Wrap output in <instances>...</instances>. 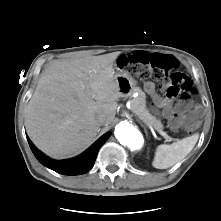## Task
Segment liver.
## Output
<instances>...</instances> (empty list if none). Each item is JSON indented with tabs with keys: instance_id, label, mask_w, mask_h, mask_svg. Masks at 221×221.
Here are the masks:
<instances>
[{
	"instance_id": "6515ba94",
	"label": "liver",
	"mask_w": 221,
	"mask_h": 221,
	"mask_svg": "<svg viewBox=\"0 0 221 221\" xmlns=\"http://www.w3.org/2000/svg\"><path fill=\"white\" fill-rule=\"evenodd\" d=\"M119 52L55 61L42 73L26 107V128L33 143L54 158L90 145L103 115L109 125L122 97L113 63Z\"/></svg>"
}]
</instances>
